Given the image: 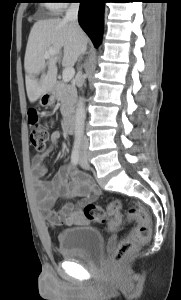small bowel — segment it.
Returning a JSON list of instances; mask_svg holds the SVG:
<instances>
[{
    "mask_svg": "<svg viewBox=\"0 0 181 300\" xmlns=\"http://www.w3.org/2000/svg\"><path fill=\"white\" fill-rule=\"evenodd\" d=\"M60 136V132H54L51 143L34 158L33 173L36 197L42 209L47 212L46 219L51 224H85L87 220L82 207L97 199L100 194V190L92 184L91 180L85 175L78 174L73 163L60 167L52 179H43L47 174L45 158L55 150ZM77 196L83 197V200L77 205L67 202L59 210H53V206L60 198Z\"/></svg>",
    "mask_w": 181,
    "mask_h": 300,
    "instance_id": "c3829d8e",
    "label": "small bowel"
}]
</instances>
